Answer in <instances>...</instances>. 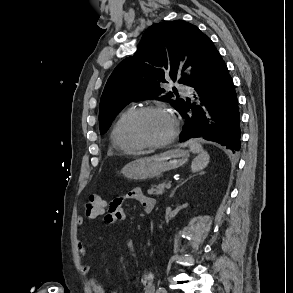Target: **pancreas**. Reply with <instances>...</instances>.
<instances>
[{"instance_id":"obj_1","label":"pancreas","mask_w":293,"mask_h":293,"mask_svg":"<svg viewBox=\"0 0 293 293\" xmlns=\"http://www.w3.org/2000/svg\"><path fill=\"white\" fill-rule=\"evenodd\" d=\"M165 187H166L165 182H162L158 185H152V187L148 190V194L156 195L157 197L162 196L165 194Z\"/></svg>"}]
</instances>
